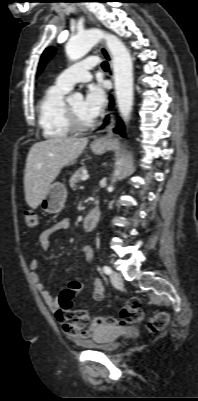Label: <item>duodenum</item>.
<instances>
[{
  "instance_id": "obj_1",
  "label": "duodenum",
  "mask_w": 198,
  "mask_h": 401,
  "mask_svg": "<svg viewBox=\"0 0 198 401\" xmlns=\"http://www.w3.org/2000/svg\"><path fill=\"white\" fill-rule=\"evenodd\" d=\"M100 218V209L95 206L83 219L82 226L85 231L94 229Z\"/></svg>"
}]
</instances>
